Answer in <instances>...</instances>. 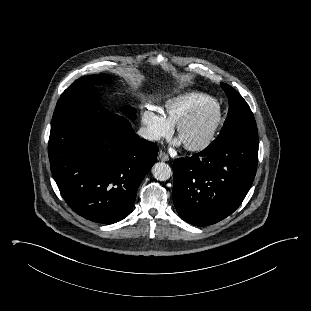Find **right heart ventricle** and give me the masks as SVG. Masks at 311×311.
<instances>
[{
	"instance_id": "obj_1",
	"label": "right heart ventricle",
	"mask_w": 311,
	"mask_h": 311,
	"mask_svg": "<svg viewBox=\"0 0 311 311\" xmlns=\"http://www.w3.org/2000/svg\"><path fill=\"white\" fill-rule=\"evenodd\" d=\"M214 100L201 92H188L168 99L161 110V115L172 127L198 106Z\"/></svg>"
}]
</instances>
